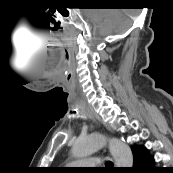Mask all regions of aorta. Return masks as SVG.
Returning a JSON list of instances; mask_svg holds the SVG:
<instances>
[{"label":"aorta","instance_id":"1","mask_svg":"<svg viewBox=\"0 0 173 173\" xmlns=\"http://www.w3.org/2000/svg\"><path fill=\"white\" fill-rule=\"evenodd\" d=\"M106 143L109 145L117 167H132L133 155L130 147L117 138H107L102 134H94L76 140L72 153L77 158L89 156L100 150Z\"/></svg>","mask_w":173,"mask_h":173}]
</instances>
